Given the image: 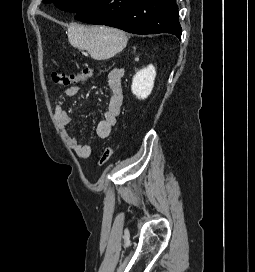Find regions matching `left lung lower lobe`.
<instances>
[{"label": "left lung lower lobe", "instance_id": "obj_1", "mask_svg": "<svg viewBox=\"0 0 255 272\" xmlns=\"http://www.w3.org/2000/svg\"><path fill=\"white\" fill-rule=\"evenodd\" d=\"M74 18L134 34L170 33L180 39L182 32L175 0H97Z\"/></svg>", "mask_w": 255, "mask_h": 272}]
</instances>
